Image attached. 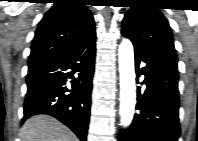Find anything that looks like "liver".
<instances>
[{"mask_svg": "<svg viewBox=\"0 0 198 141\" xmlns=\"http://www.w3.org/2000/svg\"><path fill=\"white\" fill-rule=\"evenodd\" d=\"M19 135L21 141H78L70 129L48 115H36L26 120Z\"/></svg>", "mask_w": 198, "mask_h": 141, "instance_id": "obj_1", "label": "liver"}]
</instances>
